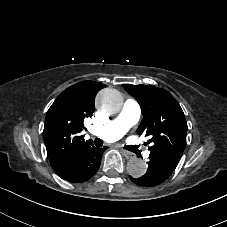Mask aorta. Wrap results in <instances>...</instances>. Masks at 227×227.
<instances>
[{
    "label": "aorta",
    "mask_w": 227,
    "mask_h": 227,
    "mask_svg": "<svg viewBox=\"0 0 227 227\" xmlns=\"http://www.w3.org/2000/svg\"><path fill=\"white\" fill-rule=\"evenodd\" d=\"M96 105L104 115H114L123 106L121 94L115 89H104L96 97ZM147 165L139 158H132L127 162V172L130 176L139 178L146 173Z\"/></svg>",
    "instance_id": "762f6f07"
}]
</instances>
